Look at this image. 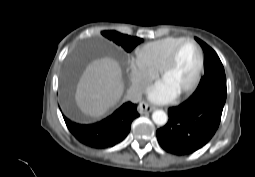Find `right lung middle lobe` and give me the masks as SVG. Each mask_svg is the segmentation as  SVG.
Instances as JSON below:
<instances>
[{"label":"right lung middle lobe","instance_id":"dd1d6c3e","mask_svg":"<svg viewBox=\"0 0 255 177\" xmlns=\"http://www.w3.org/2000/svg\"><path fill=\"white\" fill-rule=\"evenodd\" d=\"M101 34L123 47L127 52H131L138 44L143 42V39L141 38L131 37L116 31H102Z\"/></svg>","mask_w":255,"mask_h":177}]
</instances>
